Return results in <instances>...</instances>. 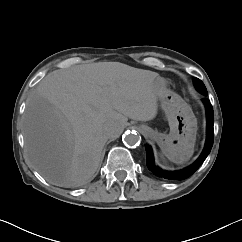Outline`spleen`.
Returning <instances> with one entry per match:
<instances>
[{
	"instance_id": "spleen-1",
	"label": "spleen",
	"mask_w": 242,
	"mask_h": 242,
	"mask_svg": "<svg viewBox=\"0 0 242 242\" xmlns=\"http://www.w3.org/2000/svg\"><path fill=\"white\" fill-rule=\"evenodd\" d=\"M162 153L172 162L177 164H182L188 159H185L183 156L179 155L177 152L169 151V150H163ZM193 153V152H192ZM192 155V154H191Z\"/></svg>"
}]
</instances>
